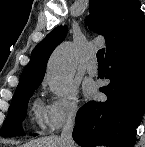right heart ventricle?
I'll return each instance as SVG.
<instances>
[{
  "instance_id": "1",
  "label": "right heart ventricle",
  "mask_w": 145,
  "mask_h": 147,
  "mask_svg": "<svg viewBox=\"0 0 145 147\" xmlns=\"http://www.w3.org/2000/svg\"><path fill=\"white\" fill-rule=\"evenodd\" d=\"M35 119L39 124L43 123V108L40 103L36 102L34 105Z\"/></svg>"
}]
</instances>
